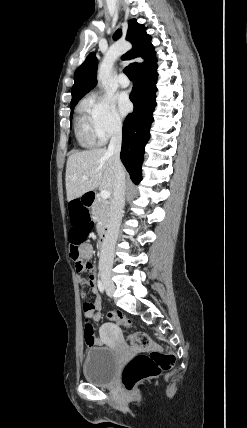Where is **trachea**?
<instances>
[{"label": "trachea", "mask_w": 247, "mask_h": 428, "mask_svg": "<svg viewBox=\"0 0 247 428\" xmlns=\"http://www.w3.org/2000/svg\"><path fill=\"white\" fill-rule=\"evenodd\" d=\"M124 73L128 76L129 79L133 78L132 71L129 67L124 68Z\"/></svg>", "instance_id": "trachea-1"}]
</instances>
